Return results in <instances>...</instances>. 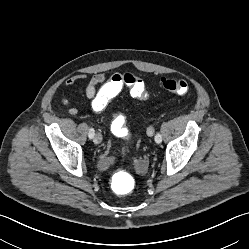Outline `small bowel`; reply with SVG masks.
I'll list each match as a JSON object with an SVG mask.
<instances>
[{
    "label": "small bowel",
    "instance_id": "1",
    "mask_svg": "<svg viewBox=\"0 0 249 249\" xmlns=\"http://www.w3.org/2000/svg\"><path fill=\"white\" fill-rule=\"evenodd\" d=\"M85 78L86 75L83 73L74 74L69 78H67V80L65 81V85L66 87L71 88L75 85L76 82ZM111 87L112 86L110 81L106 79V74L103 72L95 73L90 78L85 88V96L94 112L99 113L104 110L106 106V100L110 95ZM116 95H113V98ZM61 103L66 108V111L70 115H77L79 113V109L76 106L72 105L69 99H67L66 97L61 98ZM122 119H123L122 116L115 117V119L112 121L111 129L115 122ZM109 161L110 159L108 156H104L101 159V163L104 165L108 164ZM144 166H145L144 162H141L140 164L141 172H143Z\"/></svg>",
    "mask_w": 249,
    "mask_h": 249
}]
</instances>
